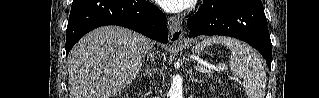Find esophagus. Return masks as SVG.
Returning <instances> with one entry per match:
<instances>
[{
	"label": "esophagus",
	"instance_id": "esophagus-1",
	"mask_svg": "<svg viewBox=\"0 0 319 98\" xmlns=\"http://www.w3.org/2000/svg\"><path fill=\"white\" fill-rule=\"evenodd\" d=\"M168 30L170 42L173 44L181 43L184 39V30L178 17H170L168 20Z\"/></svg>",
	"mask_w": 319,
	"mask_h": 98
}]
</instances>
